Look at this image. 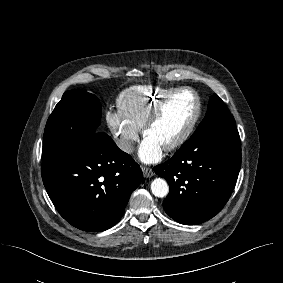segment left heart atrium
Instances as JSON below:
<instances>
[{"mask_svg":"<svg viewBox=\"0 0 283 283\" xmlns=\"http://www.w3.org/2000/svg\"><path fill=\"white\" fill-rule=\"evenodd\" d=\"M162 147L154 140L146 137L139 149V157L145 163H154L161 159Z\"/></svg>","mask_w":283,"mask_h":283,"instance_id":"obj_1","label":"left heart atrium"}]
</instances>
